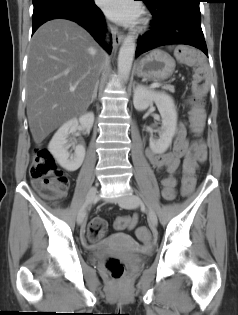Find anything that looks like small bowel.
Here are the masks:
<instances>
[{
	"instance_id": "small-bowel-1",
	"label": "small bowel",
	"mask_w": 238,
	"mask_h": 315,
	"mask_svg": "<svg viewBox=\"0 0 238 315\" xmlns=\"http://www.w3.org/2000/svg\"><path fill=\"white\" fill-rule=\"evenodd\" d=\"M146 156L150 164L157 170H165L167 176L161 181L162 195L166 200H172L176 194V174L180 168V160L185 156L182 168L183 181L182 192L185 184L189 182L192 189L195 183V171L199 163L206 158V150L203 143H191L186 137L185 131L182 129L177 136L171 150L162 154H158L152 150L146 152ZM191 189V190H192ZM63 195V194H62ZM61 195V196H62ZM138 223V215H134L129 219V228H134ZM142 246L148 248L150 246L149 239H142Z\"/></svg>"
}]
</instances>
